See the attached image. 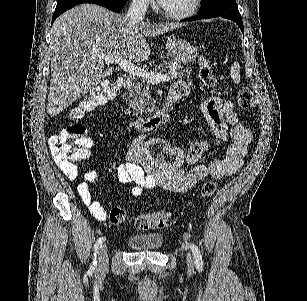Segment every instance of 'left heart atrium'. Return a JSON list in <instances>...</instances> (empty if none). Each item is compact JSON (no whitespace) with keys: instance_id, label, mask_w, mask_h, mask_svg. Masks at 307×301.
Instances as JSON below:
<instances>
[{"instance_id":"1","label":"left heart atrium","mask_w":307,"mask_h":301,"mask_svg":"<svg viewBox=\"0 0 307 301\" xmlns=\"http://www.w3.org/2000/svg\"><path fill=\"white\" fill-rule=\"evenodd\" d=\"M161 2H162L163 4H166V3L168 2V0H161ZM129 62H140V61H129Z\"/></svg>"}]
</instances>
